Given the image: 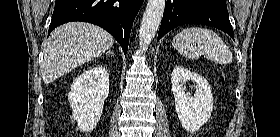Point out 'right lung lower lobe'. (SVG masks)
<instances>
[{"label": "right lung lower lobe", "mask_w": 280, "mask_h": 137, "mask_svg": "<svg viewBox=\"0 0 280 137\" xmlns=\"http://www.w3.org/2000/svg\"><path fill=\"white\" fill-rule=\"evenodd\" d=\"M143 0H56L49 26L71 22L93 23L112 34L126 55L131 27Z\"/></svg>", "instance_id": "obj_1"}]
</instances>
